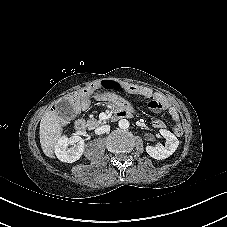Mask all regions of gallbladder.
I'll list each match as a JSON object with an SVG mask.
<instances>
[{
	"mask_svg": "<svg viewBox=\"0 0 227 227\" xmlns=\"http://www.w3.org/2000/svg\"><path fill=\"white\" fill-rule=\"evenodd\" d=\"M57 110L65 117H72L76 113L73 106L65 99L57 104Z\"/></svg>",
	"mask_w": 227,
	"mask_h": 227,
	"instance_id": "gallbladder-1",
	"label": "gallbladder"
}]
</instances>
